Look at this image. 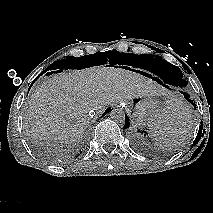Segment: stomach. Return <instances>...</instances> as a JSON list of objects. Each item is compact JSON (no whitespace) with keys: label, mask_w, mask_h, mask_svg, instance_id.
<instances>
[{"label":"stomach","mask_w":213,"mask_h":213,"mask_svg":"<svg viewBox=\"0 0 213 213\" xmlns=\"http://www.w3.org/2000/svg\"><path fill=\"white\" fill-rule=\"evenodd\" d=\"M131 117L136 126L150 127L156 122V117L166 109L157 96L133 98L129 103Z\"/></svg>","instance_id":"stomach-1"}]
</instances>
